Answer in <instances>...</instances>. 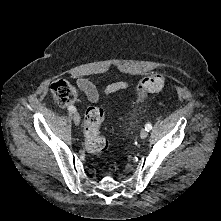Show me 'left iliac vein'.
Listing matches in <instances>:
<instances>
[{"instance_id": "obj_1", "label": "left iliac vein", "mask_w": 221, "mask_h": 221, "mask_svg": "<svg viewBox=\"0 0 221 221\" xmlns=\"http://www.w3.org/2000/svg\"><path fill=\"white\" fill-rule=\"evenodd\" d=\"M147 136H148V131L143 129L140 133L141 139H145V138H147Z\"/></svg>"}]
</instances>
